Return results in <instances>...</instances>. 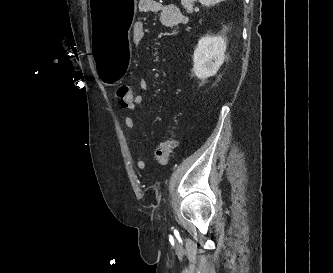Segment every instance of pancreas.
Listing matches in <instances>:
<instances>
[{
	"mask_svg": "<svg viewBox=\"0 0 333 273\" xmlns=\"http://www.w3.org/2000/svg\"><path fill=\"white\" fill-rule=\"evenodd\" d=\"M194 0H181V4L186 9L187 13H192Z\"/></svg>",
	"mask_w": 333,
	"mask_h": 273,
	"instance_id": "1",
	"label": "pancreas"
}]
</instances>
